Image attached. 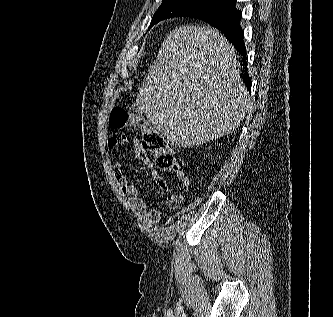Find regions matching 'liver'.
I'll return each instance as SVG.
<instances>
[{"instance_id":"6515ba94","label":"liver","mask_w":333,"mask_h":317,"mask_svg":"<svg viewBox=\"0 0 333 317\" xmlns=\"http://www.w3.org/2000/svg\"><path fill=\"white\" fill-rule=\"evenodd\" d=\"M233 46L216 29L172 30L136 105L173 145L193 147L230 134L250 108Z\"/></svg>"}]
</instances>
